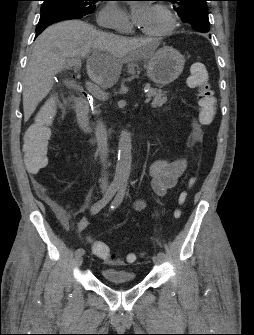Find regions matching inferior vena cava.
<instances>
[{"label": "inferior vena cava", "mask_w": 254, "mask_h": 335, "mask_svg": "<svg viewBox=\"0 0 254 335\" xmlns=\"http://www.w3.org/2000/svg\"><path fill=\"white\" fill-rule=\"evenodd\" d=\"M96 138H97V147L99 151L100 160L103 166L101 181V188L107 189L108 187V178L105 167L107 168V158H108V138L106 132V126L102 121H98L96 126Z\"/></svg>", "instance_id": "inferior-vena-cava-1"}]
</instances>
